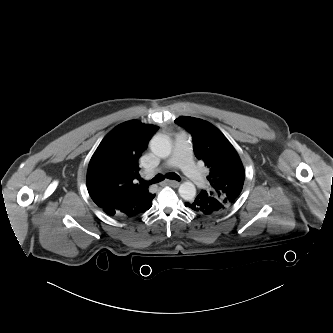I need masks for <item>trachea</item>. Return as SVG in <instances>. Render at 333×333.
I'll list each match as a JSON object with an SVG mask.
<instances>
[{
  "label": "trachea",
  "instance_id": "3493384b",
  "mask_svg": "<svg viewBox=\"0 0 333 333\" xmlns=\"http://www.w3.org/2000/svg\"><path fill=\"white\" fill-rule=\"evenodd\" d=\"M165 178L180 181V177L176 173L172 172V173H167L165 176L157 174L152 180L146 182V184L150 185V184L159 183L163 181Z\"/></svg>",
  "mask_w": 333,
  "mask_h": 333
}]
</instances>
